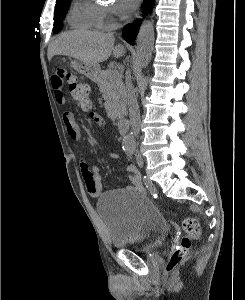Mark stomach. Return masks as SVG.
<instances>
[{
  "label": "stomach",
  "mask_w": 245,
  "mask_h": 300,
  "mask_svg": "<svg viewBox=\"0 0 245 300\" xmlns=\"http://www.w3.org/2000/svg\"><path fill=\"white\" fill-rule=\"evenodd\" d=\"M70 66L78 73H81L89 79L97 80L99 78L100 68L98 64H88L83 61L70 58Z\"/></svg>",
  "instance_id": "obj_1"
}]
</instances>
